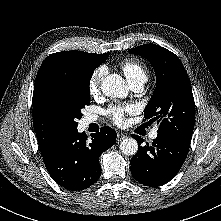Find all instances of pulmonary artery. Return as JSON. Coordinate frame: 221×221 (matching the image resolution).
I'll use <instances>...</instances> for the list:
<instances>
[{
    "mask_svg": "<svg viewBox=\"0 0 221 221\" xmlns=\"http://www.w3.org/2000/svg\"><path fill=\"white\" fill-rule=\"evenodd\" d=\"M130 87H131V89L133 90V91H135V92H140L142 89H143V84L142 83H132V84H130ZM96 120V117L95 116H93V115H90V116H87L86 118H85V124H90V123H92V122H94ZM157 126L153 129V130H151V132L149 133V138L151 139V140H154V139H156L157 138V135H158V133H157Z\"/></svg>",
    "mask_w": 221,
    "mask_h": 221,
    "instance_id": "1",
    "label": "pulmonary artery"
}]
</instances>
